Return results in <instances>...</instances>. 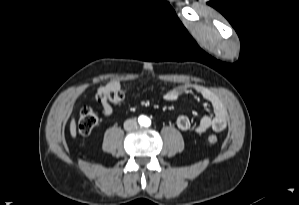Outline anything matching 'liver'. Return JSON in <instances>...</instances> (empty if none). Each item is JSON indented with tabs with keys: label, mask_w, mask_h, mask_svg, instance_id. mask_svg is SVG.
<instances>
[{
	"label": "liver",
	"mask_w": 299,
	"mask_h": 205,
	"mask_svg": "<svg viewBox=\"0 0 299 205\" xmlns=\"http://www.w3.org/2000/svg\"><path fill=\"white\" fill-rule=\"evenodd\" d=\"M70 134L73 138H76V122L74 118H72L70 123Z\"/></svg>",
	"instance_id": "6515ba94"
}]
</instances>
